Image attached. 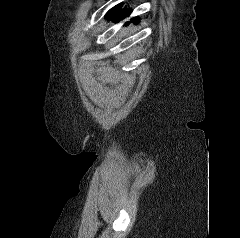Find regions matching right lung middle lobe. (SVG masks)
<instances>
[{
    "label": "right lung middle lobe",
    "instance_id": "dd1d6c3e",
    "mask_svg": "<svg viewBox=\"0 0 240 238\" xmlns=\"http://www.w3.org/2000/svg\"><path fill=\"white\" fill-rule=\"evenodd\" d=\"M121 6H122V5L119 4V5L115 6V7H113V8L107 13V15L110 16L111 14L117 12V11L121 8Z\"/></svg>",
    "mask_w": 240,
    "mask_h": 238
}]
</instances>
